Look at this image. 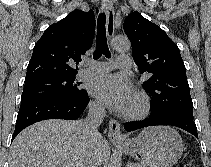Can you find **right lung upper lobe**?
Returning <instances> with one entry per match:
<instances>
[{
	"instance_id": "1",
	"label": "right lung upper lobe",
	"mask_w": 211,
	"mask_h": 167,
	"mask_svg": "<svg viewBox=\"0 0 211 167\" xmlns=\"http://www.w3.org/2000/svg\"><path fill=\"white\" fill-rule=\"evenodd\" d=\"M95 32L94 12L74 10L49 26L37 41L25 81L47 76H72L81 55L91 47Z\"/></svg>"
}]
</instances>
